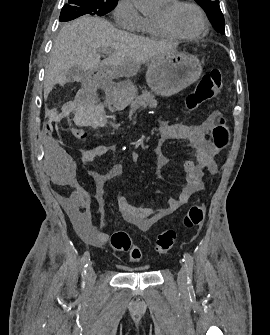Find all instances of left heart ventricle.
<instances>
[{"label":"left heart ventricle","instance_id":"1","mask_svg":"<svg viewBox=\"0 0 270 335\" xmlns=\"http://www.w3.org/2000/svg\"><path fill=\"white\" fill-rule=\"evenodd\" d=\"M164 9L155 19H164ZM171 26L182 34H196L202 30V21L196 10L189 5H181L170 18Z\"/></svg>","mask_w":270,"mask_h":335}]
</instances>
